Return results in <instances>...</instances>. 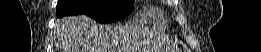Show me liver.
Here are the masks:
<instances>
[{
  "label": "liver",
  "instance_id": "liver-1",
  "mask_svg": "<svg viewBox=\"0 0 261 52\" xmlns=\"http://www.w3.org/2000/svg\"><path fill=\"white\" fill-rule=\"evenodd\" d=\"M62 52H115L120 29L97 25L85 15L58 22Z\"/></svg>",
  "mask_w": 261,
  "mask_h": 52
}]
</instances>
